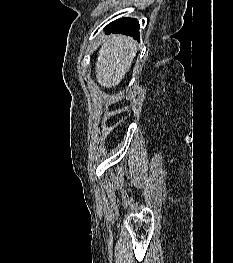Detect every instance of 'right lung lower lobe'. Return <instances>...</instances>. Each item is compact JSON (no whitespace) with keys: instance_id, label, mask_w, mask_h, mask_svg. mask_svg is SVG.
<instances>
[{"instance_id":"1","label":"right lung lower lobe","mask_w":233,"mask_h":263,"mask_svg":"<svg viewBox=\"0 0 233 263\" xmlns=\"http://www.w3.org/2000/svg\"><path fill=\"white\" fill-rule=\"evenodd\" d=\"M108 33H122L133 36L139 40V23L136 19L122 18L116 20L105 27Z\"/></svg>"}]
</instances>
